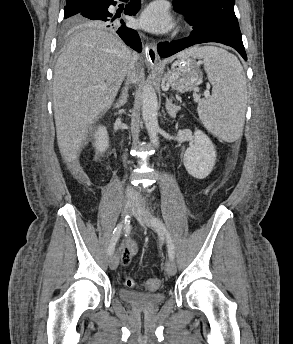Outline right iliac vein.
<instances>
[{
    "instance_id": "obj_1",
    "label": "right iliac vein",
    "mask_w": 293,
    "mask_h": 344,
    "mask_svg": "<svg viewBox=\"0 0 293 344\" xmlns=\"http://www.w3.org/2000/svg\"><path fill=\"white\" fill-rule=\"evenodd\" d=\"M136 208V202L128 200L124 203L123 206V215L124 216H129L134 209ZM119 264V257L117 254L111 255L109 259V265L112 270H115L118 267Z\"/></svg>"
}]
</instances>
